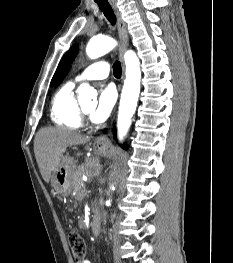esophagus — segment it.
<instances>
[{
	"label": "esophagus",
	"mask_w": 233,
	"mask_h": 263,
	"mask_svg": "<svg viewBox=\"0 0 233 263\" xmlns=\"http://www.w3.org/2000/svg\"><path fill=\"white\" fill-rule=\"evenodd\" d=\"M109 1L117 17L118 33H119V39H120L119 56H120V60L122 64V82H123L124 76H125V63H124L123 56L129 44V36H128L126 23L122 18L121 11L119 10L116 1L115 0H109ZM96 144L99 148L106 147L109 144L108 135L104 134V135L99 136L96 140Z\"/></svg>",
	"instance_id": "obj_1"
}]
</instances>
